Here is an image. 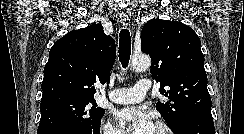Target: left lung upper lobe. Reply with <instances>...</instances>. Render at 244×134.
Masks as SVG:
<instances>
[{"mask_svg": "<svg viewBox=\"0 0 244 134\" xmlns=\"http://www.w3.org/2000/svg\"><path fill=\"white\" fill-rule=\"evenodd\" d=\"M198 35L189 26L161 19L148 21L141 31V50L150 55V73L168 97L156 103L171 130L189 117L212 119L204 56ZM168 86L170 89L165 90Z\"/></svg>", "mask_w": 244, "mask_h": 134, "instance_id": "1", "label": "left lung upper lobe"}]
</instances>
